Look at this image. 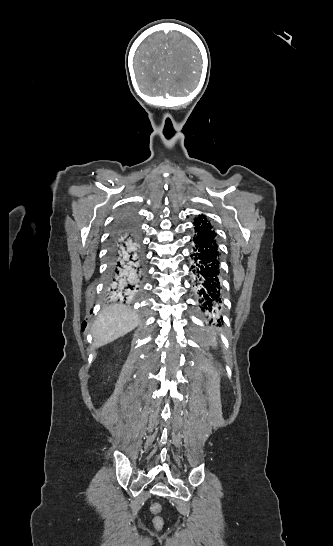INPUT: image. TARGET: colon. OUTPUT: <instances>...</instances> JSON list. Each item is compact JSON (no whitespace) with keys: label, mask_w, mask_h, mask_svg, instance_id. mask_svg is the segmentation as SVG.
Returning a JSON list of instances; mask_svg holds the SVG:
<instances>
[{"label":"colon","mask_w":333,"mask_h":546,"mask_svg":"<svg viewBox=\"0 0 333 546\" xmlns=\"http://www.w3.org/2000/svg\"><path fill=\"white\" fill-rule=\"evenodd\" d=\"M151 512L154 514L153 525L156 529H162L164 526V520L161 516L162 506L159 503H153L150 507Z\"/></svg>","instance_id":"obj_1"}]
</instances>
